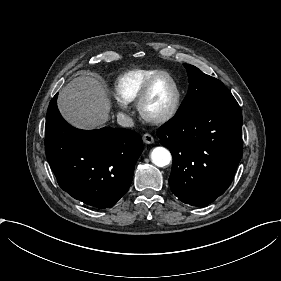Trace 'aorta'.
Listing matches in <instances>:
<instances>
[{"mask_svg":"<svg viewBox=\"0 0 281 281\" xmlns=\"http://www.w3.org/2000/svg\"><path fill=\"white\" fill-rule=\"evenodd\" d=\"M171 160V153L165 147H155L151 152V161L158 167L169 165Z\"/></svg>","mask_w":281,"mask_h":281,"instance_id":"aorta-1","label":"aorta"}]
</instances>
